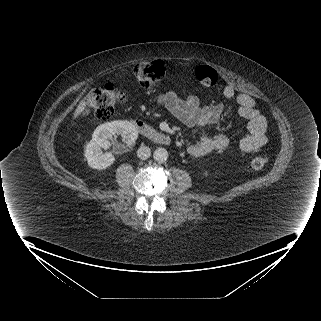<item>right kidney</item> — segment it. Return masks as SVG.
I'll return each mask as SVG.
<instances>
[{
  "label": "right kidney",
  "instance_id": "1",
  "mask_svg": "<svg viewBox=\"0 0 321 321\" xmlns=\"http://www.w3.org/2000/svg\"><path fill=\"white\" fill-rule=\"evenodd\" d=\"M114 135H121L127 145L133 144L138 138L135 126L129 121L115 120L101 124L93 132L92 139L84 151L89 167L102 170L114 163L115 157L112 153L102 152V149L109 148Z\"/></svg>",
  "mask_w": 321,
  "mask_h": 321
}]
</instances>
